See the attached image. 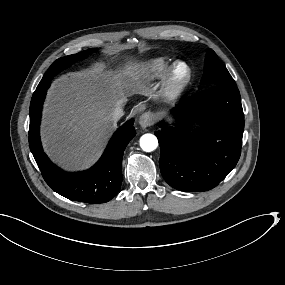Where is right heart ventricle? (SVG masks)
<instances>
[{
	"label": "right heart ventricle",
	"mask_w": 285,
	"mask_h": 285,
	"mask_svg": "<svg viewBox=\"0 0 285 285\" xmlns=\"http://www.w3.org/2000/svg\"><path fill=\"white\" fill-rule=\"evenodd\" d=\"M170 69V65L163 58L149 59L140 64L137 80L141 83L162 81L167 78Z\"/></svg>",
	"instance_id": "right-heart-ventricle-1"
}]
</instances>
